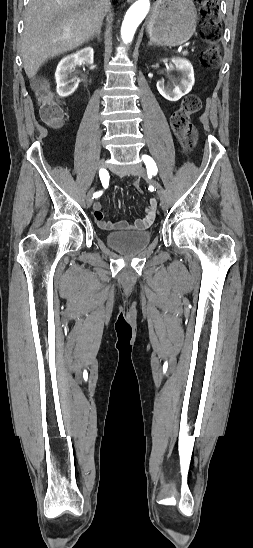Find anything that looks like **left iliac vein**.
<instances>
[{
    "label": "left iliac vein",
    "instance_id": "1",
    "mask_svg": "<svg viewBox=\"0 0 253 548\" xmlns=\"http://www.w3.org/2000/svg\"><path fill=\"white\" fill-rule=\"evenodd\" d=\"M137 175L139 177L146 178L145 169L143 167H139L138 170H137ZM151 184L155 187L157 195L160 199V205L164 209L166 207V204H167V195H166V192H165L164 188L156 180H151Z\"/></svg>",
    "mask_w": 253,
    "mask_h": 548
}]
</instances>
